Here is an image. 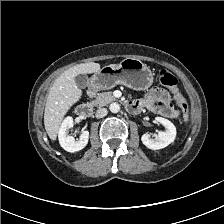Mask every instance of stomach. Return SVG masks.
<instances>
[{"label":"stomach","instance_id":"0dacf381","mask_svg":"<svg viewBox=\"0 0 224 224\" xmlns=\"http://www.w3.org/2000/svg\"><path fill=\"white\" fill-rule=\"evenodd\" d=\"M154 80L151 69L139 59L126 58L118 65H107L95 72L90 78L94 90L111 89L122 84L135 90L148 89Z\"/></svg>","mask_w":224,"mask_h":224}]
</instances>
